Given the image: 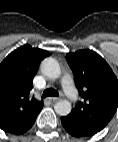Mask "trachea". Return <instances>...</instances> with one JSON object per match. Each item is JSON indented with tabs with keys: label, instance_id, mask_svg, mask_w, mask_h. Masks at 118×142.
I'll list each match as a JSON object with an SVG mask.
<instances>
[{
	"label": "trachea",
	"instance_id": "trachea-1",
	"mask_svg": "<svg viewBox=\"0 0 118 142\" xmlns=\"http://www.w3.org/2000/svg\"><path fill=\"white\" fill-rule=\"evenodd\" d=\"M48 96H58V92L54 89H46L43 92V98Z\"/></svg>",
	"mask_w": 118,
	"mask_h": 142
}]
</instances>
